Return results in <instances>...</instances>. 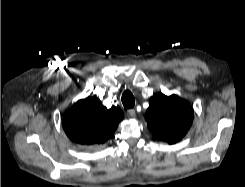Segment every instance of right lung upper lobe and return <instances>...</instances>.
Instances as JSON below:
<instances>
[{"instance_id": "cb5924a9", "label": "right lung upper lobe", "mask_w": 245, "mask_h": 187, "mask_svg": "<svg viewBox=\"0 0 245 187\" xmlns=\"http://www.w3.org/2000/svg\"><path fill=\"white\" fill-rule=\"evenodd\" d=\"M123 118L118 107L107 109L99 99L87 97L65 112L62 125L73 142L91 147L111 139Z\"/></svg>"}]
</instances>
